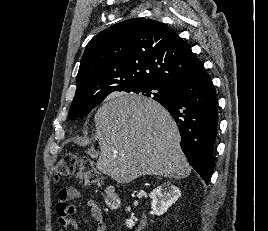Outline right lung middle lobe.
<instances>
[{
    "label": "right lung middle lobe",
    "mask_w": 268,
    "mask_h": 231,
    "mask_svg": "<svg viewBox=\"0 0 268 231\" xmlns=\"http://www.w3.org/2000/svg\"><path fill=\"white\" fill-rule=\"evenodd\" d=\"M124 92L141 93L144 96L153 97V99L164 98L167 95V88L160 84H144L123 89ZM104 99L89 105H80L72 103L68 118L73 120L75 118L88 114L93 108L98 106Z\"/></svg>",
    "instance_id": "obj_1"
}]
</instances>
